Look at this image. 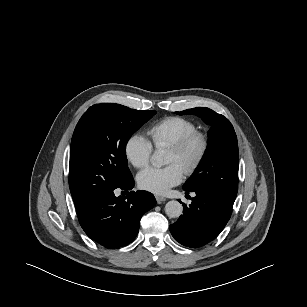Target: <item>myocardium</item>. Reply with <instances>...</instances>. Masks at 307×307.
I'll return each mask as SVG.
<instances>
[{
  "label": "myocardium",
  "instance_id": "1",
  "mask_svg": "<svg viewBox=\"0 0 307 307\" xmlns=\"http://www.w3.org/2000/svg\"><path fill=\"white\" fill-rule=\"evenodd\" d=\"M194 144L197 145V150L183 169L186 175L193 174L205 158L209 146L207 136L203 132L195 130L168 148L169 151L179 156H184Z\"/></svg>",
  "mask_w": 307,
  "mask_h": 307
}]
</instances>
